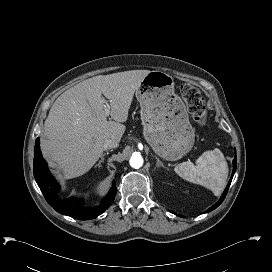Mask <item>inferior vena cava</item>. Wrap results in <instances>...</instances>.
I'll use <instances>...</instances> for the list:
<instances>
[{"label":"inferior vena cava","mask_w":272,"mask_h":272,"mask_svg":"<svg viewBox=\"0 0 272 272\" xmlns=\"http://www.w3.org/2000/svg\"><path fill=\"white\" fill-rule=\"evenodd\" d=\"M119 143L113 139H107L104 142L103 148L104 150L112 149L118 147Z\"/></svg>","instance_id":"602c4592"}]
</instances>
